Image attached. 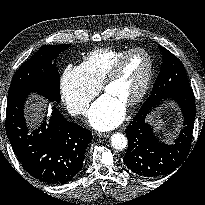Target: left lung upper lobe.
Masks as SVG:
<instances>
[{"instance_id": "1", "label": "left lung upper lobe", "mask_w": 205, "mask_h": 205, "mask_svg": "<svg viewBox=\"0 0 205 205\" xmlns=\"http://www.w3.org/2000/svg\"><path fill=\"white\" fill-rule=\"evenodd\" d=\"M158 47L163 54V63L152 93L145 101L151 105L157 104L173 91L190 89L186 70L181 61L166 48L160 45Z\"/></svg>"}]
</instances>
